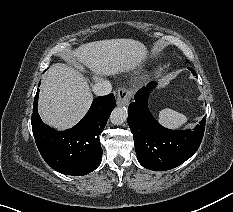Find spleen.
I'll use <instances>...</instances> for the list:
<instances>
[{
    "label": "spleen",
    "instance_id": "obj_1",
    "mask_svg": "<svg viewBox=\"0 0 233 212\" xmlns=\"http://www.w3.org/2000/svg\"><path fill=\"white\" fill-rule=\"evenodd\" d=\"M159 122L171 129H178L187 122V117L177 111L165 108L159 112Z\"/></svg>",
    "mask_w": 233,
    "mask_h": 212
}]
</instances>
